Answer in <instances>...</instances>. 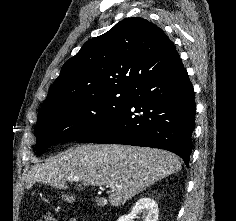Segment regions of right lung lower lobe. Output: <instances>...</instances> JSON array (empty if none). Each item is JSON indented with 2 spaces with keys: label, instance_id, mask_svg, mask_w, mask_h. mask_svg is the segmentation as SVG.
<instances>
[{
  "label": "right lung lower lobe",
  "instance_id": "1",
  "mask_svg": "<svg viewBox=\"0 0 236 221\" xmlns=\"http://www.w3.org/2000/svg\"><path fill=\"white\" fill-rule=\"evenodd\" d=\"M196 104L193 86L177 57L131 90L128 102L79 143H113L165 149L189 164Z\"/></svg>",
  "mask_w": 236,
  "mask_h": 221
}]
</instances>
